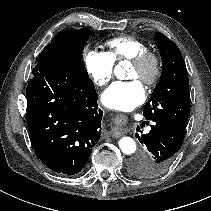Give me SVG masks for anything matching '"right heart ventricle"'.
Here are the masks:
<instances>
[{
    "label": "right heart ventricle",
    "instance_id": "right-heart-ventricle-1",
    "mask_svg": "<svg viewBox=\"0 0 211 211\" xmlns=\"http://www.w3.org/2000/svg\"><path fill=\"white\" fill-rule=\"evenodd\" d=\"M107 55L113 63L130 60L137 54L148 50L146 44L133 36H118L106 41Z\"/></svg>",
    "mask_w": 211,
    "mask_h": 211
}]
</instances>
